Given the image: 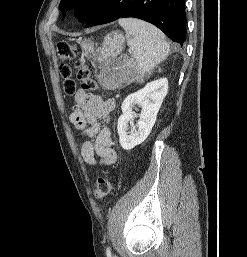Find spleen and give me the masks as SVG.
<instances>
[{
    "label": "spleen",
    "mask_w": 247,
    "mask_h": 257,
    "mask_svg": "<svg viewBox=\"0 0 247 257\" xmlns=\"http://www.w3.org/2000/svg\"><path fill=\"white\" fill-rule=\"evenodd\" d=\"M127 36L128 46L132 49L140 76L150 72L164 61L170 52L165 35L155 26L135 18L118 20Z\"/></svg>",
    "instance_id": "1"
}]
</instances>
